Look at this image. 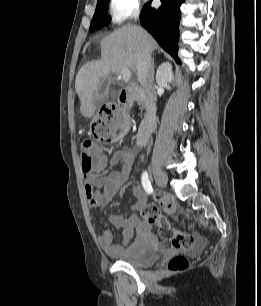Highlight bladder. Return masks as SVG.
Masks as SVG:
<instances>
[{
    "mask_svg": "<svg viewBox=\"0 0 261 306\" xmlns=\"http://www.w3.org/2000/svg\"><path fill=\"white\" fill-rule=\"evenodd\" d=\"M160 257L158 246L149 239H140L135 242L134 251L120 257L119 261L133 267L146 268L154 265Z\"/></svg>",
    "mask_w": 261,
    "mask_h": 306,
    "instance_id": "obj_1",
    "label": "bladder"
}]
</instances>
